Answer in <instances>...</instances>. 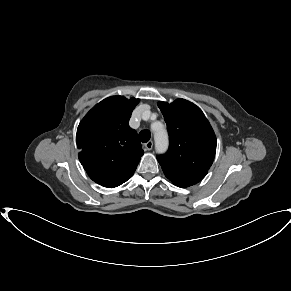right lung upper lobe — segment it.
<instances>
[{
  "instance_id": "cb5924a9",
  "label": "right lung upper lobe",
  "mask_w": 291,
  "mask_h": 291,
  "mask_svg": "<svg viewBox=\"0 0 291 291\" xmlns=\"http://www.w3.org/2000/svg\"><path fill=\"white\" fill-rule=\"evenodd\" d=\"M139 101L108 97L95 105L78 126L79 160L89 177L104 187L126 182L143 155L137 133L128 125Z\"/></svg>"
}]
</instances>
